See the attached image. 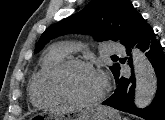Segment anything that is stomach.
I'll use <instances>...</instances> for the list:
<instances>
[{"instance_id": "obj_1", "label": "stomach", "mask_w": 165, "mask_h": 120, "mask_svg": "<svg viewBox=\"0 0 165 120\" xmlns=\"http://www.w3.org/2000/svg\"><path fill=\"white\" fill-rule=\"evenodd\" d=\"M44 117L46 120H121L120 115L112 108L93 105L80 107L67 111H48L33 115L32 119H40Z\"/></svg>"}]
</instances>
